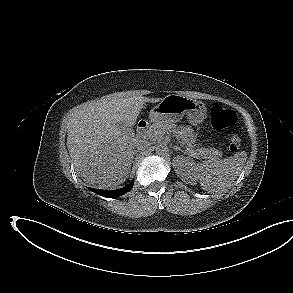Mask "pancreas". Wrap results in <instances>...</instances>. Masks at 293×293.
<instances>
[{"label":"pancreas","mask_w":293,"mask_h":293,"mask_svg":"<svg viewBox=\"0 0 293 293\" xmlns=\"http://www.w3.org/2000/svg\"><path fill=\"white\" fill-rule=\"evenodd\" d=\"M175 125L168 122L154 123L150 126L146 133V138L150 141H157L163 138L167 131H175ZM181 137L183 138L181 143L186 144V152L195 158L203 159H217L222 157V152L215 148H195V135L189 127L181 129Z\"/></svg>","instance_id":"1"}]
</instances>
